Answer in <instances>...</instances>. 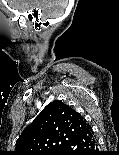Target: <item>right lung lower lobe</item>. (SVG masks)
I'll return each instance as SVG.
<instances>
[{
	"instance_id": "1",
	"label": "right lung lower lobe",
	"mask_w": 119,
	"mask_h": 155,
	"mask_svg": "<svg viewBox=\"0 0 119 155\" xmlns=\"http://www.w3.org/2000/svg\"><path fill=\"white\" fill-rule=\"evenodd\" d=\"M97 142L89 127L84 133L67 143L58 155H97Z\"/></svg>"
}]
</instances>
